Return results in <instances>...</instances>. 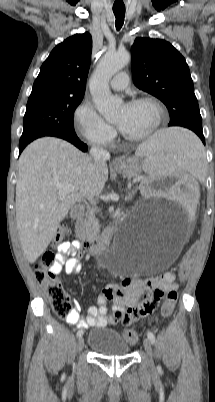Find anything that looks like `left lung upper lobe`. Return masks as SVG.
<instances>
[{
    "instance_id": "1",
    "label": "left lung upper lobe",
    "mask_w": 215,
    "mask_h": 402,
    "mask_svg": "<svg viewBox=\"0 0 215 402\" xmlns=\"http://www.w3.org/2000/svg\"><path fill=\"white\" fill-rule=\"evenodd\" d=\"M132 75L139 89L166 105L170 114L169 126H182L195 133H203L189 67L169 42L135 39L132 45Z\"/></svg>"
}]
</instances>
